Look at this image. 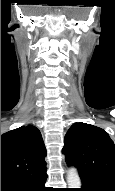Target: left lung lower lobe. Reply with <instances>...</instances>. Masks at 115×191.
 <instances>
[{
  "instance_id": "obj_1",
  "label": "left lung lower lobe",
  "mask_w": 115,
  "mask_h": 191,
  "mask_svg": "<svg viewBox=\"0 0 115 191\" xmlns=\"http://www.w3.org/2000/svg\"><path fill=\"white\" fill-rule=\"evenodd\" d=\"M82 187L76 189V191H115V189L111 188L107 184H104L100 181L81 178Z\"/></svg>"
}]
</instances>
